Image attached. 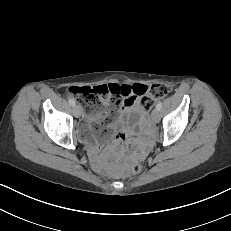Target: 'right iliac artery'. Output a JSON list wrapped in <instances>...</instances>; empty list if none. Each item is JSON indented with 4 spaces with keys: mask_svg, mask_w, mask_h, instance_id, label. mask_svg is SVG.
<instances>
[{
    "mask_svg": "<svg viewBox=\"0 0 231 231\" xmlns=\"http://www.w3.org/2000/svg\"><path fill=\"white\" fill-rule=\"evenodd\" d=\"M68 101H69V104H70V105H72V106L75 105V100H74V99L70 98Z\"/></svg>",
    "mask_w": 231,
    "mask_h": 231,
    "instance_id": "obj_1",
    "label": "right iliac artery"
}]
</instances>
